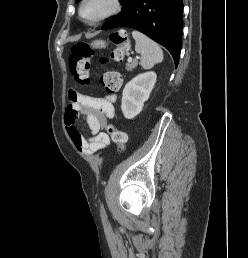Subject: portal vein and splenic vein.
<instances>
[{
    "instance_id": "18ae733b",
    "label": "portal vein and splenic vein",
    "mask_w": 248,
    "mask_h": 258,
    "mask_svg": "<svg viewBox=\"0 0 248 258\" xmlns=\"http://www.w3.org/2000/svg\"><path fill=\"white\" fill-rule=\"evenodd\" d=\"M128 61H129V62H131V61H132V58H131V57H129V58H128Z\"/></svg>"
}]
</instances>
